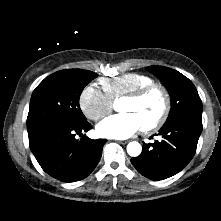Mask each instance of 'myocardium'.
<instances>
[{
  "mask_svg": "<svg viewBox=\"0 0 221 221\" xmlns=\"http://www.w3.org/2000/svg\"><path fill=\"white\" fill-rule=\"evenodd\" d=\"M154 92H158L162 97V111L156 120L142 126L145 132L155 131L166 123L171 111V97L168 90L161 84L152 83L123 97V100L140 101Z\"/></svg>",
  "mask_w": 221,
  "mask_h": 221,
  "instance_id": "obj_1",
  "label": "myocardium"
}]
</instances>
